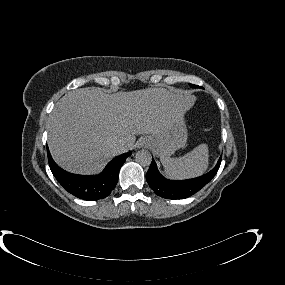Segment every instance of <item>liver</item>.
<instances>
[{
	"instance_id": "1",
	"label": "liver",
	"mask_w": 285,
	"mask_h": 285,
	"mask_svg": "<svg viewBox=\"0 0 285 285\" xmlns=\"http://www.w3.org/2000/svg\"><path fill=\"white\" fill-rule=\"evenodd\" d=\"M195 100L165 88L111 95L99 88L70 91L56 103L47 122L51 155L70 172L96 173L132 148L135 135L164 130ZM119 142H124L121 149L116 147Z\"/></svg>"
}]
</instances>
